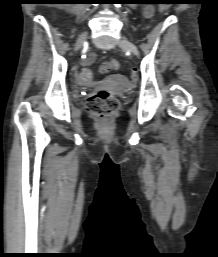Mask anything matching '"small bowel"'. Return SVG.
<instances>
[{
    "instance_id": "small-bowel-1",
    "label": "small bowel",
    "mask_w": 218,
    "mask_h": 257,
    "mask_svg": "<svg viewBox=\"0 0 218 257\" xmlns=\"http://www.w3.org/2000/svg\"><path fill=\"white\" fill-rule=\"evenodd\" d=\"M145 15L147 17H151L153 15V9L147 8L146 11H145ZM92 59H93V57H90L88 61L90 62ZM78 77H79V73H74V78H77L76 79V84H78Z\"/></svg>"
}]
</instances>
